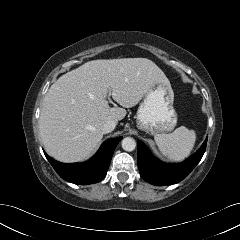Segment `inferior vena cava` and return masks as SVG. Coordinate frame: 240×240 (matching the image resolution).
<instances>
[{"instance_id": "inferior-vena-cava-1", "label": "inferior vena cava", "mask_w": 240, "mask_h": 240, "mask_svg": "<svg viewBox=\"0 0 240 240\" xmlns=\"http://www.w3.org/2000/svg\"><path fill=\"white\" fill-rule=\"evenodd\" d=\"M117 122L115 120L109 119L102 126V132L104 134L109 133L115 129Z\"/></svg>"}]
</instances>
